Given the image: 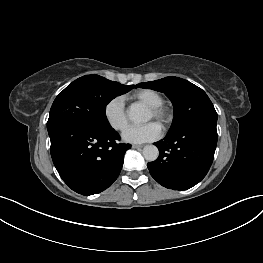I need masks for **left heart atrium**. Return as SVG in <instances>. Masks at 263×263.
<instances>
[{
	"label": "left heart atrium",
	"instance_id": "left-heart-atrium-1",
	"mask_svg": "<svg viewBox=\"0 0 263 263\" xmlns=\"http://www.w3.org/2000/svg\"><path fill=\"white\" fill-rule=\"evenodd\" d=\"M162 135L161 126L156 122H149L144 125L129 126L122 134L125 142L141 144L154 141Z\"/></svg>",
	"mask_w": 263,
	"mask_h": 263
}]
</instances>
